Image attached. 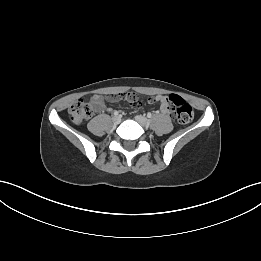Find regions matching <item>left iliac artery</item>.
Instances as JSON below:
<instances>
[{
  "label": "left iliac artery",
  "mask_w": 261,
  "mask_h": 261,
  "mask_svg": "<svg viewBox=\"0 0 261 261\" xmlns=\"http://www.w3.org/2000/svg\"><path fill=\"white\" fill-rule=\"evenodd\" d=\"M147 117H148V118H151V117H152V114H151V113H148V114H147Z\"/></svg>",
  "instance_id": "1"
}]
</instances>
